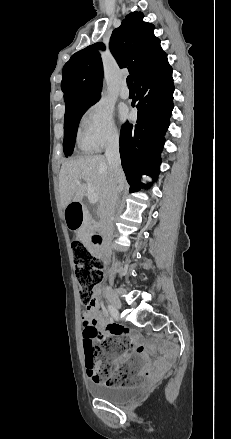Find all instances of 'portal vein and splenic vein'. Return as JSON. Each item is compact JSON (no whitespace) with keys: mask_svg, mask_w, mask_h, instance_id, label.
Returning a JSON list of instances; mask_svg holds the SVG:
<instances>
[{"mask_svg":"<svg viewBox=\"0 0 231 439\" xmlns=\"http://www.w3.org/2000/svg\"><path fill=\"white\" fill-rule=\"evenodd\" d=\"M75 183L80 184V181L76 180ZM87 196L90 203L95 204L98 202V194L95 193L93 187L90 184H88L87 187Z\"/></svg>","mask_w":231,"mask_h":439,"instance_id":"obj_1","label":"portal vein and splenic vein"}]
</instances>
